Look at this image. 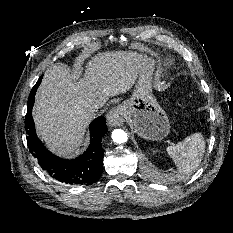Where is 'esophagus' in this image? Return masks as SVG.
<instances>
[{
	"mask_svg": "<svg viewBox=\"0 0 233 233\" xmlns=\"http://www.w3.org/2000/svg\"><path fill=\"white\" fill-rule=\"evenodd\" d=\"M125 117V109L118 106L108 113L107 122L110 126H121L125 122Z\"/></svg>",
	"mask_w": 233,
	"mask_h": 233,
	"instance_id": "34e87169",
	"label": "esophagus"
}]
</instances>
